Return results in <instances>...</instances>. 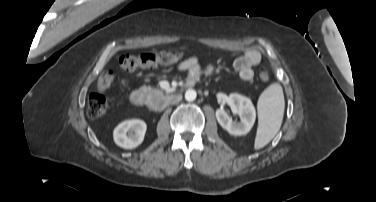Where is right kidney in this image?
Listing matches in <instances>:
<instances>
[{
  "label": "right kidney",
  "mask_w": 376,
  "mask_h": 202,
  "mask_svg": "<svg viewBox=\"0 0 376 202\" xmlns=\"http://www.w3.org/2000/svg\"><path fill=\"white\" fill-rule=\"evenodd\" d=\"M147 125L143 120H125L113 131L115 143L125 149H133L140 145L145 136Z\"/></svg>",
  "instance_id": "1"
}]
</instances>
